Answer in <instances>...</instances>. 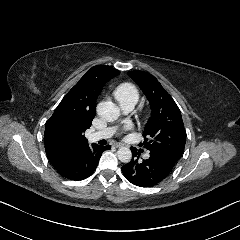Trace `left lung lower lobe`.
<instances>
[{
  "label": "left lung lower lobe",
  "mask_w": 240,
  "mask_h": 240,
  "mask_svg": "<svg viewBox=\"0 0 240 240\" xmlns=\"http://www.w3.org/2000/svg\"><path fill=\"white\" fill-rule=\"evenodd\" d=\"M133 158L122 167L126 179L132 184L140 187L155 186L163 181L172 171L175 162L165 158L158 151H150V157L139 161V153L131 147Z\"/></svg>",
  "instance_id": "left-lung-lower-lobe-1"
}]
</instances>
